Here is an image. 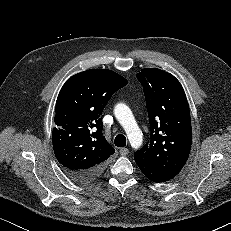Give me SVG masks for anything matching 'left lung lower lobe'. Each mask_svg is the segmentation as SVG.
<instances>
[{
	"label": "left lung lower lobe",
	"mask_w": 231,
	"mask_h": 231,
	"mask_svg": "<svg viewBox=\"0 0 231 231\" xmlns=\"http://www.w3.org/2000/svg\"><path fill=\"white\" fill-rule=\"evenodd\" d=\"M134 159L139 166L140 170L143 174L151 181L155 183H162L166 182L172 178H174L177 174L165 173L160 170L155 169L154 167L150 166L146 162L138 159L134 156Z\"/></svg>",
	"instance_id": "0a47b994"
}]
</instances>
